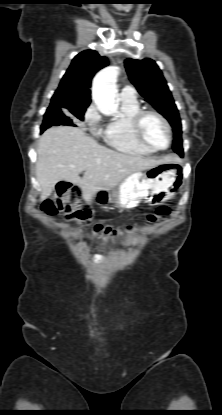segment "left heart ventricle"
<instances>
[{
    "label": "left heart ventricle",
    "instance_id": "obj_1",
    "mask_svg": "<svg viewBox=\"0 0 222 415\" xmlns=\"http://www.w3.org/2000/svg\"><path fill=\"white\" fill-rule=\"evenodd\" d=\"M143 133L145 138L157 147H164L168 142L167 130L160 119L148 115L143 121Z\"/></svg>",
    "mask_w": 222,
    "mask_h": 415
}]
</instances>
